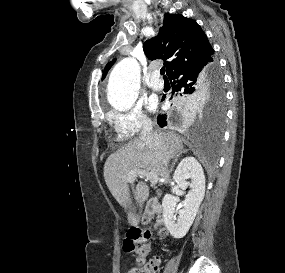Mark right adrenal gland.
<instances>
[{
	"instance_id": "right-adrenal-gland-1",
	"label": "right adrenal gland",
	"mask_w": 285,
	"mask_h": 273,
	"mask_svg": "<svg viewBox=\"0 0 285 273\" xmlns=\"http://www.w3.org/2000/svg\"><path fill=\"white\" fill-rule=\"evenodd\" d=\"M183 153H187V150H182L174 159V162L172 163V166H171V171L175 165V163L177 162V160L179 159V157L183 154Z\"/></svg>"
}]
</instances>
